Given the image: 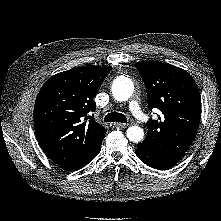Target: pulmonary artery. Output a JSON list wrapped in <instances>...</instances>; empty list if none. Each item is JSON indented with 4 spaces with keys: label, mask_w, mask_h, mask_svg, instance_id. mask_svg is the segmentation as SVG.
Instances as JSON below:
<instances>
[{
    "label": "pulmonary artery",
    "mask_w": 221,
    "mask_h": 221,
    "mask_svg": "<svg viewBox=\"0 0 221 221\" xmlns=\"http://www.w3.org/2000/svg\"><path fill=\"white\" fill-rule=\"evenodd\" d=\"M129 109L131 111V113L140 121H145L146 120V117L145 115L143 114L141 108H140V105L138 103V101L135 99V100H132L130 103H129Z\"/></svg>",
    "instance_id": "pulmonary-artery-1"
}]
</instances>
